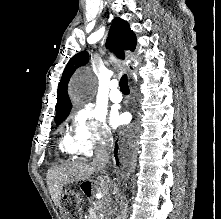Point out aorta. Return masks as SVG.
Returning a JSON list of instances; mask_svg holds the SVG:
<instances>
[{
    "label": "aorta",
    "mask_w": 221,
    "mask_h": 219,
    "mask_svg": "<svg viewBox=\"0 0 221 219\" xmlns=\"http://www.w3.org/2000/svg\"><path fill=\"white\" fill-rule=\"evenodd\" d=\"M95 89V80L90 74H79L76 76L73 86L72 94L76 99H88Z\"/></svg>",
    "instance_id": "762f6f07"
}]
</instances>
